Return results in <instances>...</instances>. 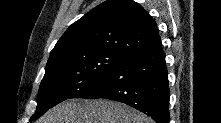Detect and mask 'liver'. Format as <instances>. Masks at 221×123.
<instances>
[{
    "instance_id": "liver-1",
    "label": "liver",
    "mask_w": 221,
    "mask_h": 123,
    "mask_svg": "<svg viewBox=\"0 0 221 123\" xmlns=\"http://www.w3.org/2000/svg\"><path fill=\"white\" fill-rule=\"evenodd\" d=\"M38 123H153L144 114L110 100L71 99L49 110Z\"/></svg>"
}]
</instances>
